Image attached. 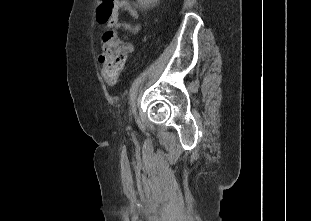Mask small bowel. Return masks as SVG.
I'll return each instance as SVG.
<instances>
[{
    "instance_id": "small-bowel-1",
    "label": "small bowel",
    "mask_w": 311,
    "mask_h": 221,
    "mask_svg": "<svg viewBox=\"0 0 311 221\" xmlns=\"http://www.w3.org/2000/svg\"><path fill=\"white\" fill-rule=\"evenodd\" d=\"M122 13H128L132 19H139L140 14L136 3L132 0H116L113 8L112 18L109 21V27L114 30H127L131 32H138L140 30V24L131 25L128 22H121L119 16ZM123 49L126 55H131L134 48L131 44H125Z\"/></svg>"
}]
</instances>
